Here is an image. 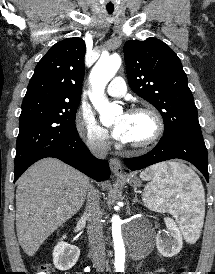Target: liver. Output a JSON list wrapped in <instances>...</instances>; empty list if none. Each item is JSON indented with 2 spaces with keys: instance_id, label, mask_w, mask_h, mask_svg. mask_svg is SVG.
<instances>
[{
  "instance_id": "liver-1",
  "label": "liver",
  "mask_w": 215,
  "mask_h": 274,
  "mask_svg": "<svg viewBox=\"0 0 215 274\" xmlns=\"http://www.w3.org/2000/svg\"><path fill=\"white\" fill-rule=\"evenodd\" d=\"M89 185L86 175L54 158L38 161L19 178L16 231L28 256L79 211Z\"/></svg>"
}]
</instances>
